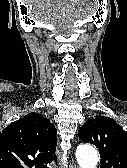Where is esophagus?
<instances>
[{"instance_id":"esophagus-1","label":"esophagus","mask_w":127,"mask_h":168,"mask_svg":"<svg viewBox=\"0 0 127 168\" xmlns=\"http://www.w3.org/2000/svg\"><path fill=\"white\" fill-rule=\"evenodd\" d=\"M70 168H77V166L76 165H71Z\"/></svg>"}]
</instances>
